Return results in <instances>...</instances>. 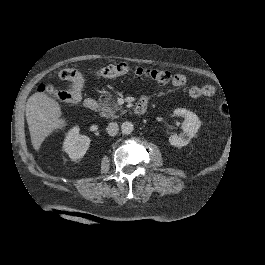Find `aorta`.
<instances>
[{"label": "aorta", "instance_id": "762f6f07", "mask_svg": "<svg viewBox=\"0 0 265 265\" xmlns=\"http://www.w3.org/2000/svg\"><path fill=\"white\" fill-rule=\"evenodd\" d=\"M121 129H122L123 134L128 135V134H131L133 132L134 126H133L132 122L125 121L122 123Z\"/></svg>", "mask_w": 265, "mask_h": 265}]
</instances>
